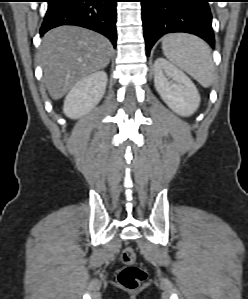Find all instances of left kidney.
<instances>
[{
	"label": "left kidney",
	"instance_id": "left-kidney-1",
	"mask_svg": "<svg viewBox=\"0 0 248 299\" xmlns=\"http://www.w3.org/2000/svg\"><path fill=\"white\" fill-rule=\"evenodd\" d=\"M154 85L167 106L180 116H190L199 107L200 95L194 83L166 59L157 58L154 63Z\"/></svg>",
	"mask_w": 248,
	"mask_h": 299
}]
</instances>
